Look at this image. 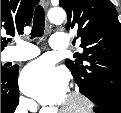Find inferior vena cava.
I'll return each mask as SVG.
<instances>
[{"label":"inferior vena cava","instance_id":"inferior-vena-cava-1","mask_svg":"<svg viewBox=\"0 0 121 113\" xmlns=\"http://www.w3.org/2000/svg\"><path fill=\"white\" fill-rule=\"evenodd\" d=\"M27 110L31 111L32 113H36L37 104L34 101L26 100L17 107L16 113H26Z\"/></svg>","mask_w":121,"mask_h":113}]
</instances>
